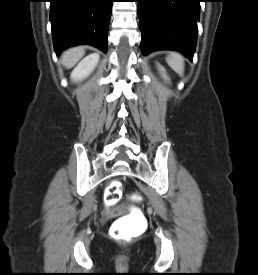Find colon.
Instances as JSON below:
<instances>
[{"instance_id": "colon-1", "label": "colon", "mask_w": 258, "mask_h": 275, "mask_svg": "<svg viewBox=\"0 0 258 275\" xmlns=\"http://www.w3.org/2000/svg\"><path fill=\"white\" fill-rule=\"evenodd\" d=\"M121 194V184L118 181H112L107 189L106 199L108 201H116ZM135 201L140 199L138 194L133 196ZM111 235L115 238L122 240H129L131 238V233L123 228L122 224L118 221L111 228Z\"/></svg>"}]
</instances>
